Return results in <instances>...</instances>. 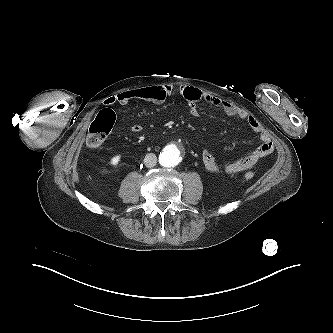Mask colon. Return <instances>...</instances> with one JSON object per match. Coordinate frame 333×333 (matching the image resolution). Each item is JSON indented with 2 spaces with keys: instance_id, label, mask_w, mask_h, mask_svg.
I'll list each match as a JSON object with an SVG mask.
<instances>
[{
  "instance_id": "obj_1",
  "label": "colon",
  "mask_w": 333,
  "mask_h": 333,
  "mask_svg": "<svg viewBox=\"0 0 333 333\" xmlns=\"http://www.w3.org/2000/svg\"><path fill=\"white\" fill-rule=\"evenodd\" d=\"M114 122L115 114L112 110L104 109L100 111L90 125L87 136V146L92 150L100 148L111 131ZM244 178L248 181L252 180L254 173L246 172Z\"/></svg>"
}]
</instances>
